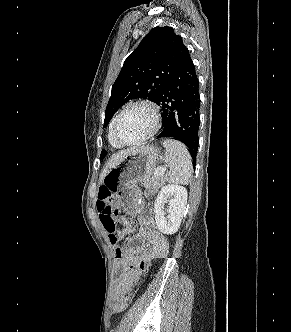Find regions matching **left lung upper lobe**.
I'll list each match as a JSON object with an SVG mask.
<instances>
[{"mask_svg": "<svg viewBox=\"0 0 291 332\" xmlns=\"http://www.w3.org/2000/svg\"><path fill=\"white\" fill-rule=\"evenodd\" d=\"M186 46L173 28L155 27L127 57L112 86L105 110L104 127L114 113L131 99L157 103L168 80L176 71ZM107 154L102 150L100 159Z\"/></svg>", "mask_w": 291, "mask_h": 332, "instance_id": "obj_1", "label": "left lung upper lobe"}]
</instances>
